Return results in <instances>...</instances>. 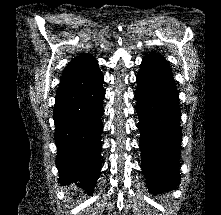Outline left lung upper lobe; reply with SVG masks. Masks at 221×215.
<instances>
[{
  "instance_id": "5c2ea615",
  "label": "left lung upper lobe",
  "mask_w": 221,
  "mask_h": 215,
  "mask_svg": "<svg viewBox=\"0 0 221 215\" xmlns=\"http://www.w3.org/2000/svg\"><path fill=\"white\" fill-rule=\"evenodd\" d=\"M145 57H153V58H161L164 59L160 54L156 52H150V54L146 55Z\"/></svg>"
}]
</instances>
